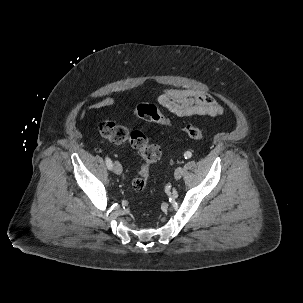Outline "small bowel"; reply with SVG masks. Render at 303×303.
<instances>
[{"label":"small bowel","mask_w":303,"mask_h":303,"mask_svg":"<svg viewBox=\"0 0 303 303\" xmlns=\"http://www.w3.org/2000/svg\"><path fill=\"white\" fill-rule=\"evenodd\" d=\"M158 101L161 106L179 117L190 116H220L224 108L208 93L192 88H167L160 92ZM114 103L112 97H104L88 106V110L110 106Z\"/></svg>","instance_id":"c3829d8e"}]
</instances>
